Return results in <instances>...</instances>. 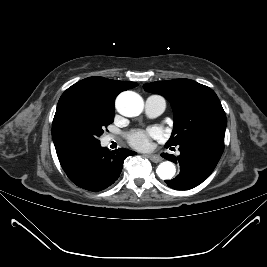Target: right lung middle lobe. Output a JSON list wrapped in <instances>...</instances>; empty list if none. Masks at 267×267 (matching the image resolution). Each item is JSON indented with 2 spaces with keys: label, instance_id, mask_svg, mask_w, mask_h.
<instances>
[{
  "label": "right lung middle lobe",
  "instance_id": "dd1d6c3e",
  "mask_svg": "<svg viewBox=\"0 0 267 267\" xmlns=\"http://www.w3.org/2000/svg\"><path fill=\"white\" fill-rule=\"evenodd\" d=\"M115 108L90 92H76L59 100L52 124L56 152L99 144L104 128L113 122Z\"/></svg>",
  "mask_w": 267,
  "mask_h": 267
}]
</instances>
